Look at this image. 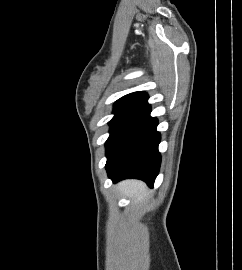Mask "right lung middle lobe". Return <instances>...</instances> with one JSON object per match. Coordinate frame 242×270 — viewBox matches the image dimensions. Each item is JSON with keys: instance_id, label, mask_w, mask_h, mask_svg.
Returning a JSON list of instances; mask_svg holds the SVG:
<instances>
[{"instance_id": "1", "label": "right lung middle lobe", "mask_w": 242, "mask_h": 270, "mask_svg": "<svg viewBox=\"0 0 242 270\" xmlns=\"http://www.w3.org/2000/svg\"><path fill=\"white\" fill-rule=\"evenodd\" d=\"M137 108L134 106H125V105H115L113 114L115 116L110 120V136L108 140L106 141V149H108L116 136L118 135L119 131L123 127V125L126 123V121L129 119V117L133 114V112Z\"/></svg>"}]
</instances>
